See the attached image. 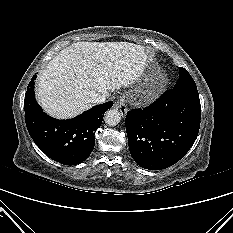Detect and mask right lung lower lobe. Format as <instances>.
Instances as JSON below:
<instances>
[{"label": "right lung lower lobe", "instance_id": "1", "mask_svg": "<svg viewBox=\"0 0 233 233\" xmlns=\"http://www.w3.org/2000/svg\"><path fill=\"white\" fill-rule=\"evenodd\" d=\"M35 79L36 75L27 87L24 101L25 121L31 138L48 157L61 164L83 162L94 149L95 131L113 101L94 106L73 119H54L44 113L35 100Z\"/></svg>", "mask_w": 233, "mask_h": 233}]
</instances>
